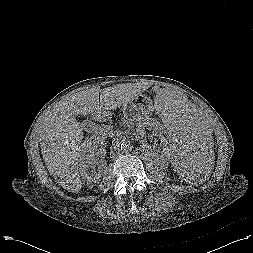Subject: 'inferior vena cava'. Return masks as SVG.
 <instances>
[{"label":"inferior vena cava","instance_id":"inferior-vena-cava-1","mask_svg":"<svg viewBox=\"0 0 253 253\" xmlns=\"http://www.w3.org/2000/svg\"><path fill=\"white\" fill-rule=\"evenodd\" d=\"M100 130H101V128H100ZM96 132L98 133V131H96ZM120 153H121V150H120L119 145H118V144L114 145V146H113V149L111 150V155H112L113 157H116V156H118Z\"/></svg>","mask_w":253,"mask_h":253}]
</instances>
